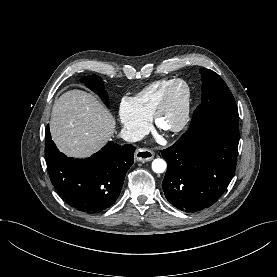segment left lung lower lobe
Returning <instances> with one entry per match:
<instances>
[{
	"label": "left lung lower lobe",
	"instance_id": "1",
	"mask_svg": "<svg viewBox=\"0 0 277 277\" xmlns=\"http://www.w3.org/2000/svg\"><path fill=\"white\" fill-rule=\"evenodd\" d=\"M238 143L236 122L211 120L188 129L162 150L168 164L162 182L167 200L189 213L211 206L234 175Z\"/></svg>",
	"mask_w": 277,
	"mask_h": 277
}]
</instances>
